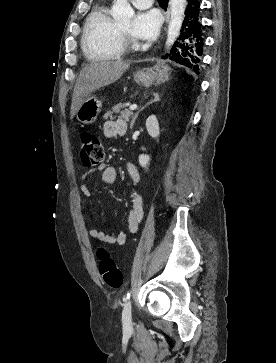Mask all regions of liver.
Instances as JSON below:
<instances>
[{
	"label": "liver",
	"mask_w": 276,
	"mask_h": 363,
	"mask_svg": "<svg viewBox=\"0 0 276 363\" xmlns=\"http://www.w3.org/2000/svg\"><path fill=\"white\" fill-rule=\"evenodd\" d=\"M130 62L101 61L85 65L74 87L71 119L75 116L82 102L93 92L117 81L128 69Z\"/></svg>",
	"instance_id": "obj_1"
}]
</instances>
